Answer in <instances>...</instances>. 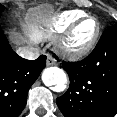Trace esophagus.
<instances>
[{"instance_id": "34e87169", "label": "esophagus", "mask_w": 117, "mask_h": 117, "mask_svg": "<svg viewBox=\"0 0 117 117\" xmlns=\"http://www.w3.org/2000/svg\"><path fill=\"white\" fill-rule=\"evenodd\" d=\"M46 64H47V66H52V65L56 64L54 58L51 55H47Z\"/></svg>"}]
</instances>
